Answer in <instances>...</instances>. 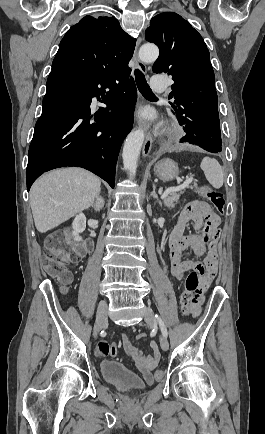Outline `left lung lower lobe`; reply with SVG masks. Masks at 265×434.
<instances>
[{"label": "left lung lower lobe", "mask_w": 265, "mask_h": 434, "mask_svg": "<svg viewBox=\"0 0 265 434\" xmlns=\"http://www.w3.org/2000/svg\"><path fill=\"white\" fill-rule=\"evenodd\" d=\"M186 135L183 137L181 142H188L195 146H198L208 152L218 153L221 152V133L210 132L208 130H192L184 129Z\"/></svg>", "instance_id": "1"}]
</instances>
